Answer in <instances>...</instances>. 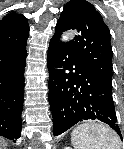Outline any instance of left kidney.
<instances>
[{
  "mask_svg": "<svg viewBox=\"0 0 124 149\" xmlns=\"http://www.w3.org/2000/svg\"><path fill=\"white\" fill-rule=\"evenodd\" d=\"M64 149H71V147H65Z\"/></svg>",
  "mask_w": 124,
  "mask_h": 149,
  "instance_id": "left-kidney-1",
  "label": "left kidney"
}]
</instances>
